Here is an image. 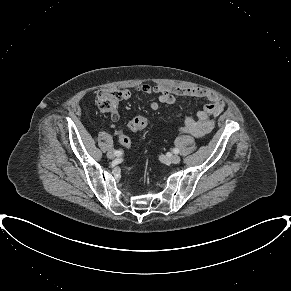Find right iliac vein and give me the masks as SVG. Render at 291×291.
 <instances>
[{
  "instance_id": "obj_1",
  "label": "right iliac vein",
  "mask_w": 291,
  "mask_h": 291,
  "mask_svg": "<svg viewBox=\"0 0 291 291\" xmlns=\"http://www.w3.org/2000/svg\"><path fill=\"white\" fill-rule=\"evenodd\" d=\"M107 157H108L109 159H114V158L116 157V155H115L114 151H109V152L107 153Z\"/></svg>"
}]
</instances>
